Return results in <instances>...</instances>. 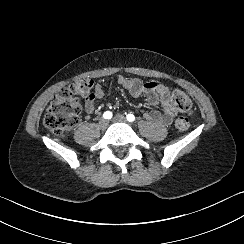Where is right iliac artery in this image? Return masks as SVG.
Returning <instances> with one entry per match:
<instances>
[{
  "label": "right iliac artery",
  "instance_id": "1",
  "mask_svg": "<svg viewBox=\"0 0 244 244\" xmlns=\"http://www.w3.org/2000/svg\"><path fill=\"white\" fill-rule=\"evenodd\" d=\"M103 118L104 119H111L112 118V112H110V111L104 112Z\"/></svg>",
  "mask_w": 244,
  "mask_h": 244
}]
</instances>
